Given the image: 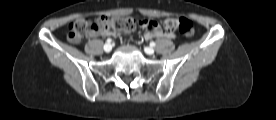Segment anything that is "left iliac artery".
Returning a JSON list of instances; mask_svg holds the SVG:
<instances>
[{"instance_id": "1", "label": "left iliac artery", "mask_w": 276, "mask_h": 120, "mask_svg": "<svg viewBox=\"0 0 276 120\" xmlns=\"http://www.w3.org/2000/svg\"><path fill=\"white\" fill-rule=\"evenodd\" d=\"M155 45H156V43L153 42V41L150 43V46H151V47H154Z\"/></svg>"}]
</instances>
